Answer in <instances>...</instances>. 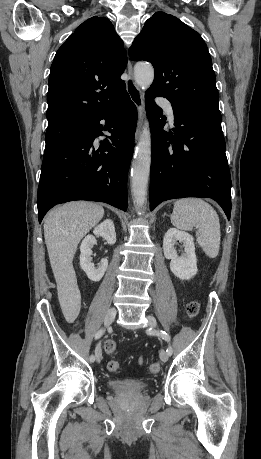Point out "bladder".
<instances>
[{"mask_svg": "<svg viewBox=\"0 0 261 459\" xmlns=\"http://www.w3.org/2000/svg\"><path fill=\"white\" fill-rule=\"evenodd\" d=\"M109 387L119 393H139L145 390L146 385L136 379H112L108 382Z\"/></svg>", "mask_w": 261, "mask_h": 459, "instance_id": "1", "label": "bladder"}]
</instances>
